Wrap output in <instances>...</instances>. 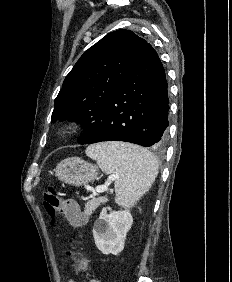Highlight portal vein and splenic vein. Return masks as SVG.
<instances>
[{"instance_id":"18ae733b","label":"portal vein and splenic vein","mask_w":232,"mask_h":282,"mask_svg":"<svg viewBox=\"0 0 232 282\" xmlns=\"http://www.w3.org/2000/svg\"><path fill=\"white\" fill-rule=\"evenodd\" d=\"M116 178H117V176L114 175V176H112L110 179H111V180H114V179H116ZM106 189H107V184L101 185V186H97L96 189H95V192H93V195H96V194H98V193H103Z\"/></svg>"}]
</instances>
